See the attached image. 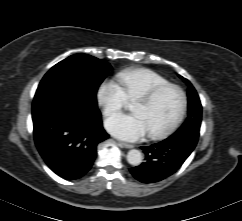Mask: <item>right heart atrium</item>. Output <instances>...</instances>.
<instances>
[{
  "instance_id": "1",
  "label": "right heart atrium",
  "mask_w": 242,
  "mask_h": 221,
  "mask_svg": "<svg viewBox=\"0 0 242 221\" xmlns=\"http://www.w3.org/2000/svg\"><path fill=\"white\" fill-rule=\"evenodd\" d=\"M96 99L105 116L119 112L128 102L121 85L113 80H104L98 86Z\"/></svg>"
}]
</instances>
